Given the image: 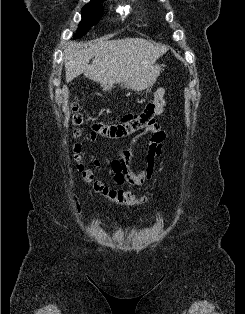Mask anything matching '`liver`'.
Wrapping results in <instances>:
<instances>
[{
    "mask_svg": "<svg viewBox=\"0 0 245 314\" xmlns=\"http://www.w3.org/2000/svg\"><path fill=\"white\" fill-rule=\"evenodd\" d=\"M167 50L165 45L153 44L142 38L98 41L86 48L71 42L64 49L66 82L84 74L103 85L125 83L152 69Z\"/></svg>",
    "mask_w": 245,
    "mask_h": 314,
    "instance_id": "obj_1",
    "label": "liver"
}]
</instances>
